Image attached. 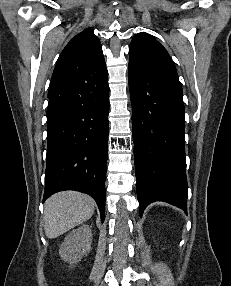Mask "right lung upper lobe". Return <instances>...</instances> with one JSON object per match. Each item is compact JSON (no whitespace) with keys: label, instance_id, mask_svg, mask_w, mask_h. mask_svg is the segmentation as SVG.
I'll return each mask as SVG.
<instances>
[{"label":"right lung upper lobe","instance_id":"1","mask_svg":"<svg viewBox=\"0 0 231 286\" xmlns=\"http://www.w3.org/2000/svg\"><path fill=\"white\" fill-rule=\"evenodd\" d=\"M105 72L101 43L93 30L87 28L74 36L62 51L52 75L48 98L61 95L77 83Z\"/></svg>","mask_w":231,"mask_h":286}]
</instances>
